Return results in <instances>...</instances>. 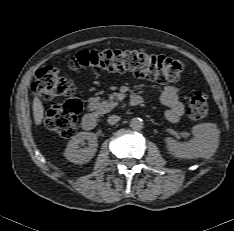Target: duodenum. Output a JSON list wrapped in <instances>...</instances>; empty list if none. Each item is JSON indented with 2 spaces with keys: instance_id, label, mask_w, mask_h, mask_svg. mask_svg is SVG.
Wrapping results in <instances>:
<instances>
[{
  "instance_id": "duodenum-1",
  "label": "duodenum",
  "mask_w": 234,
  "mask_h": 231,
  "mask_svg": "<svg viewBox=\"0 0 234 231\" xmlns=\"http://www.w3.org/2000/svg\"><path fill=\"white\" fill-rule=\"evenodd\" d=\"M130 103L133 106H141L144 100L139 95H134L130 99ZM97 125V117L94 113H86L82 119V127L86 131L93 130Z\"/></svg>"
}]
</instances>
